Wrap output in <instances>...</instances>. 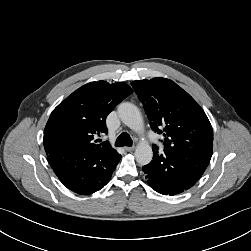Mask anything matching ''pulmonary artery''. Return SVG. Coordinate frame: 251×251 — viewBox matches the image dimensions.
Returning <instances> with one entry per match:
<instances>
[{
    "label": "pulmonary artery",
    "mask_w": 251,
    "mask_h": 251,
    "mask_svg": "<svg viewBox=\"0 0 251 251\" xmlns=\"http://www.w3.org/2000/svg\"><path fill=\"white\" fill-rule=\"evenodd\" d=\"M149 138H150V140H153V136L152 135H149Z\"/></svg>",
    "instance_id": "e3ab8cb5"
}]
</instances>
